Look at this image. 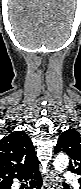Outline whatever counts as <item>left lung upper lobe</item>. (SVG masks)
<instances>
[{"label":"left lung upper lobe","mask_w":81,"mask_h":189,"mask_svg":"<svg viewBox=\"0 0 81 189\" xmlns=\"http://www.w3.org/2000/svg\"><path fill=\"white\" fill-rule=\"evenodd\" d=\"M59 152H66L70 156L68 170L81 177V133L74 129L62 132L54 150L55 154Z\"/></svg>","instance_id":"left-lung-upper-lobe-1"}]
</instances>
